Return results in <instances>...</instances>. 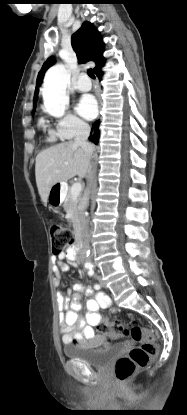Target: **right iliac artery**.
Wrapping results in <instances>:
<instances>
[{
    "instance_id": "obj_1",
    "label": "right iliac artery",
    "mask_w": 187,
    "mask_h": 415,
    "mask_svg": "<svg viewBox=\"0 0 187 415\" xmlns=\"http://www.w3.org/2000/svg\"><path fill=\"white\" fill-rule=\"evenodd\" d=\"M91 267H92V265H87V266H86V268H91Z\"/></svg>"
}]
</instances>
